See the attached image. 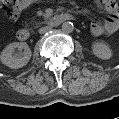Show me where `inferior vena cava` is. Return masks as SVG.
Listing matches in <instances>:
<instances>
[{
    "label": "inferior vena cava",
    "instance_id": "1",
    "mask_svg": "<svg viewBox=\"0 0 119 119\" xmlns=\"http://www.w3.org/2000/svg\"><path fill=\"white\" fill-rule=\"evenodd\" d=\"M50 29H51L50 26L42 27V28L39 29V33H40V34H44V33H46L47 31H49Z\"/></svg>",
    "mask_w": 119,
    "mask_h": 119
}]
</instances>
